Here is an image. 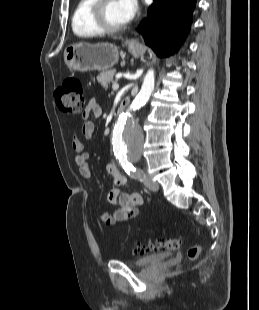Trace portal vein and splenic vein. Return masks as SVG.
<instances>
[{
	"instance_id": "portal-vein-and-splenic-vein-1",
	"label": "portal vein and splenic vein",
	"mask_w": 259,
	"mask_h": 310,
	"mask_svg": "<svg viewBox=\"0 0 259 310\" xmlns=\"http://www.w3.org/2000/svg\"><path fill=\"white\" fill-rule=\"evenodd\" d=\"M112 89H113L114 91H115V90H118V89H119V84H118V83H113Z\"/></svg>"
}]
</instances>
